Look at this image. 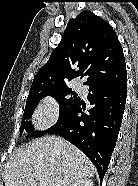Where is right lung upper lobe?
I'll list each match as a JSON object with an SVG mask.
<instances>
[{
  "label": "right lung upper lobe",
  "mask_w": 138,
  "mask_h": 186,
  "mask_svg": "<svg viewBox=\"0 0 138 186\" xmlns=\"http://www.w3.org/2000/svg\"><path fill=\"white\" fill-rule=\"evenodd\" d=\"M77 77H86L84 84L127 77L116 32L107 21L89 11H82L69 21L59 45L37 72L30 93L66 86Z\"/></svg>",
  "instance_id": "obj_1"
}]
</instances>
